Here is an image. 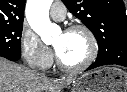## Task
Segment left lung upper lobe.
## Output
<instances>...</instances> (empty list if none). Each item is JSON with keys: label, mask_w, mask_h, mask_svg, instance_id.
I'll return each instance as SVG.
<instances>
[{"label": "left lung upper lobe", "mask_w": 127, "mask_h": 92, "mask_svg": "<svg viewBox=\"0 0 127 92\" xmlns=\"http://www.w3.org/2000/svg\"><path fill=\"white\" fill-rule=\"evenodd\" d=\"M68 10L94 34L98 54L108 47L127 43V16L122 0H62Z\"/></svg>", "instance_id": "5c2ea615"}]
</instances>
